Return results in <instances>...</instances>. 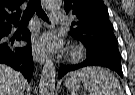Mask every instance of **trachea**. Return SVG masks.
<instances>
[{"mask_svg": "<svg viewBox=\"0 0 135 95\" xmlns=\"http://www.w3.org/2000/svg\"><path fill=\"white\" fill-rule=\"evenodd\" d=\"M34 13L37 14V16L44 21L48 22V17L41 6L40 0H29L27 9L24 11L23 16L21 18L20 26H27L29 23V20L34 15Z\"/></svg>", "mask_w": 135, "mask_h": 95, "instance_id": "1", "label": "trachea"}]
</instances>
